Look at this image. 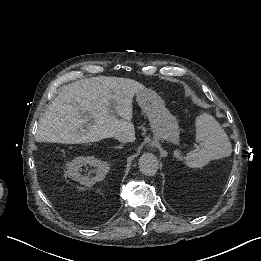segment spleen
<instances>
[{
	"label": "spleen",
	"instance_id": "spleen-1",
	"mask_svg": "<svg viewBox=\"0 0 261 261\" xmlns=\"http://www.w3.org/2000/svg\"><path fill=\"white\" fill-rule=\"evenodd\" d=\"M196 143L201 148L189 152L182 157L183 163L190 168H202L214 160L231 155V144L227 134L212 116L203 114L194 121Z\"/></svg>",
	"mask_w": 261,
	"mask_h": 261
}]
</instances>
